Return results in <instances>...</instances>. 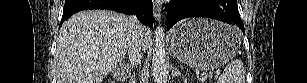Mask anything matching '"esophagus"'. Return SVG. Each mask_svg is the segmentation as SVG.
<instances>
[{
	"label": "esophagus",
	"instance_id": "obj_1",
	"mask_svg": "<svg viewBox=\"0 0 307 83\" xmlns=\"http://www.w3.org/2000/svg\"><path fill=\"white\" fill-rule=\"evenodd\" d=\"M162 3L160 0L153 1V12L154 17L157 21L161 19Z\"/></svg>",
	"mask_w": 307,
	"mask_h": 83
}]
</instances>
